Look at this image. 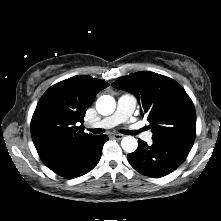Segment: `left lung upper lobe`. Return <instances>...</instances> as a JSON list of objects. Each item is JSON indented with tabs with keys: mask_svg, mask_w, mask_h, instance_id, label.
I'll return each instance as SVG.
<instances>
[{
	"mask_svg": "<svg viewBox=\"0 0 221 221\" xmlns=\"http://www.w3.org/2000/svg\"><path fill=\"white\" fill-rule=\"evenodd\" d=\"M113 87L133 93L143 106L152 139L192 147L196 136V113L185 90L173 79L141 71L117 79Z\"/></svg>",
	"mask_w": 221,
	"mask_h": 221,
	"instance_id": "1",
	"label": "left lung upper lobe"
}]
</instances>
